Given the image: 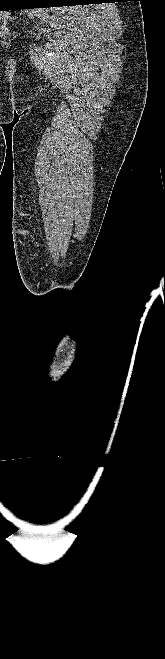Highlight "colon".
I'll use <instances>...</instances> for the list:
<instances>
[{"label": "colon", "instance_id": "obj_1", "mask_svg": "<svg viewBox=\"0 0 165 659\" xmlns=\"http://www.w3.org/2000/svg\"><path fill=\"white\" fill-rule=\"evenodd\" d=\"M0 20H1V19H0ZM1 22H2V20H1ZM8 34H9V29H8L5 25L1 24V25H0V36H1V37H5V36H7Z\"/></svg>", "mask_w": 165, "mask_h": 659}]
</instances>
